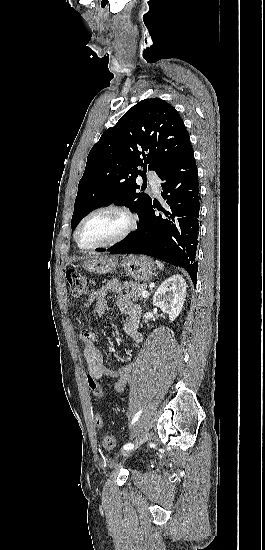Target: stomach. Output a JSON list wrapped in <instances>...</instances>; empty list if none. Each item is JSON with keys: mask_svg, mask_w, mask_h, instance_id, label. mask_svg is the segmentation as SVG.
Listing matches in <instances>:
<instances>
[{"mask_svg": "<svg viewBox=\"0 0 265 550\" xmlns=\"http://www.w3.org/2000/svg\"><path fill=\"white\" fill-rule=\"evenodd\" d=\"M80 266L94 274H106L122 267L125 273L138 282L150 281L156 272L153 261L145 256H125L120 260L116 256L93 255L82 261Z\"/></svg>", "mask_w": 265, "mask_h": 550, "instance_id": "1", "label": "stomach"}]
</instances>
